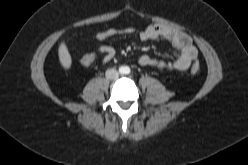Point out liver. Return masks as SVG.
<instances>
[{
    "label": "liver",
    "instance_id": "liver-1",
    "mask_svg": "<svg viewBox=\"0 0 248 165\" xmlns=\"http://www.w3.org/2000/svg\"><path fill=\"white\" fill-rule=\"evenodd\" d=\"M58 56L61 65L65 69H69L71 67L72 59L71 55L68 51V48L64 42H61L58 48Z\"/></svg>",
    "mask_w": 248,
    "mask_h": 165
}]
</instances>
